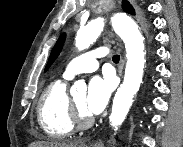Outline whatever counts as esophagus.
<instances>
[{"mask_svg": "<svg viewBox=\"0 0 183 147\" xmlns=\"http://www.w3.org/2000/svg\"><path fill=\"white\" fill-rule=\"evenodd\" d=\"M94 146L95 147H99V146H102V141L99 139L97 141L94 142Z\"/></svg>", "mask_w": 183, "mask_h": 147, "instance_id": "obj_1", "label": "esophagus"}]
</instances>
